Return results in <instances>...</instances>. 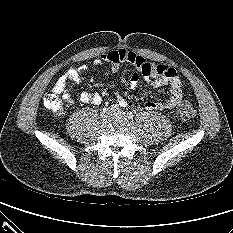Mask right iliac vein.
Segmentation results:
<instances>
[{
	"label": "right iliac vein",
	"mask_w": 233,
	"mask_h": 233,
	"mask_svg": "<svg viewBox=\"0 0 233 233\" xmlns=\"http://www.w3.org/2000/svg\"><path fill=\"white\" fill-rule=\"evenodd\" d=\"M112 116V112L110 109H103V111L101 112V118L105 121L110 119Z\"/></svg>",
	"instance_id": "1"
}]
</instances>
